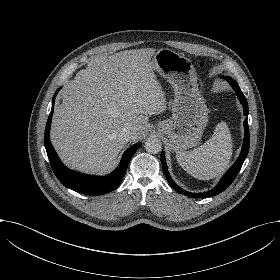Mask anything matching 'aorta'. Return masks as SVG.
I'll use <instances>...</instances> for the list:
<instances>
[{
	"label": "aorta",
	"mask_w": 280,
	"mask_h": 280,
	"mask_svg": "<svg viewBox=\"0 0 280 280\" xmlns=\"http://www.w3.org/2000/svg\"><path fill=\"white\" fill-rule=\"evenodd\" d=\"M144 147L147 152L156 154L162 149V142L158 137L151 136L145 140Z\"/></svg>",
	"instance_id": "aorta-1"
}]
</instances>
